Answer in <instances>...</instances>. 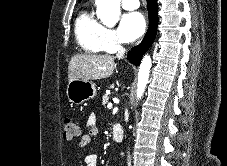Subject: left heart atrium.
<instances>
[{
	"label": "left heart atrium",
	"instance_id": "39dd6f15",
	"mask_svg": "<svg viewBox=\"0 0 227 166\" xmlns=\"http://www.w3.org/2000/svg\"><path fill=\"white\" fill-rule=\"evenodd\" d=\"M146 29L144 16L139 12H130L122 16L119 23V36L123 42H133Z\"/></svg>",
	"mask_w": 227,
	"mask_h": 166
}]
</instances>
